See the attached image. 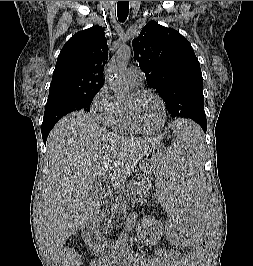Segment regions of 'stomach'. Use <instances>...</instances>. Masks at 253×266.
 <instances>
[{
  "mask_svg": "<svg viewBox=\"0 0 253 266\" xmlns=\"http://www.w3.org/2000/svg\"><path fill=\"white\" fill-rule=\"evenodd\" d=\"M163 153H168L164 149L162 143L156 144L147 152V154L140 161V169L143 174L149 179H154V176H159L161 169L157 168V161L161 160Z\"/></svg>",
  "mask_w": 253,
  "mask_h": 266,
  "instance_id": "1",
  "label": "stomach"
}]
</instances>
